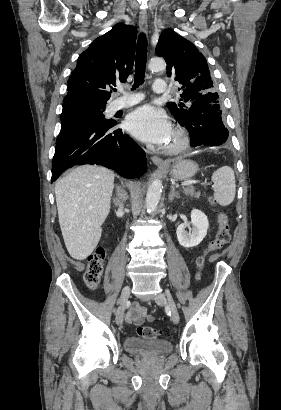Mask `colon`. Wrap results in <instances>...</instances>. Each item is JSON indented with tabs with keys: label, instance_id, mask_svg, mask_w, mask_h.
<instances>
[{
	"label": "colon",
	"instance_id": "1",
	"mask_svg": "<svg viewBox=\"0 0 281 410\" xmlns=\"http://www.w3.org/2000/svg\"><path fill=\"white\" fill-rule=\"evenodd\" d=\"M212 203L215 204V200L211 199ZM219 229L215 238L209 244L205 254L198 258V266L202 268L204 264V256L207 253L214 252L222 249L230 239L228 219L224 213H220L218 216ZM106 251L103 247L97 248L94 254H92L88 259V265L86 272L84 274V280L90 289H96L99 284L103 274L104 269V259ZM137 334L145 339H155L161 335V332L153 327L141 326L137 329Z\"/></svg>",
	"mask_w": 281,
	"mask_h": 410
}]
</instances>
